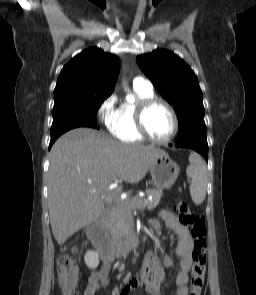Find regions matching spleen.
<instances>
[{
  "mask_svg": "<svg viewBox=\"0 0 256 295\" xmlns=\"http://www.w3.org/2000/svg\"><path fill=\"white\" fill-rule=\"evenodd\" d=\"M189 162L190 165L186 169V173L191 179L189 191L193 202L199 205L206 197L207 168L201 156L195 152L189 155Z\"/></svg>",
  "mask_w": 256,
  "mask_h": 295,
  "instance_id": "1",
  "label": "spleen"
}]
</instances>
